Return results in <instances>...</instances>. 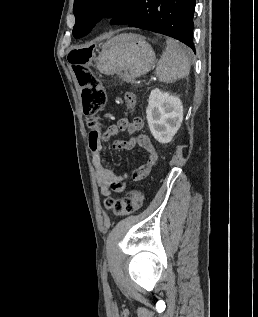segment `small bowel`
Listing matches in <instances>:
<instances>
[{
	"label": "small bowel",
	"mask_w": 258,
	"mask_h": 317,
	"mask_svg": "<svg viewBox=\"0 0 258 317\" xmlns=\"http://www.w3.org/2000/svg\"><path fill=\"white\" fill-rule=\"evenodd\" d=\"M143 126L144 122L140 117H135L133 120L122 118L115 125H109L102 130L90 132L89 148L95 168V180L104 195L123 191L129 185V181L143 179L157 165L159 152L151 138L141 133ZM122 132L129 133L130 138L127 140L116 139L113 142V148L116 150H130L135 146H139L146 151L147 158L144 163L131 172H125L123 175L118 176L106 166L102 150L110 137Z\"/></svg>",
	"instance_id": "small-bowel-1"
}]
</instances>
